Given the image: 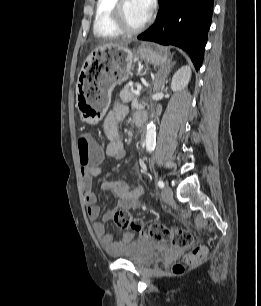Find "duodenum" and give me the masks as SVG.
<instances>
[{
	"mask_svg": "<svg viewBox=\"0 0 261 306\" xmlns=\"http://www.w3.org/2000/svg\"><path fill=\"white\" fill-rule=\"evenodd\" d=\"M146 120H147V115L144 112L138 113L134 117V123L139 128L143 127V125L145 124Z\"/></svg>",
	"mask_w": 261,
	"mask_h": 306,
	"instance_id": "duodenum-1",
	"label": "duodenum"
}]
</instances>
